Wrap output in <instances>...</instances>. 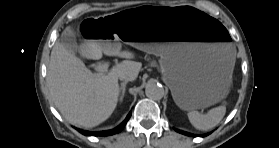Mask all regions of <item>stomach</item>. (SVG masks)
Masks as SVG:
<instances>
[{
	"label": "stomach",
	"instance_id": "0dacf381",
	"mask_svg": "<svg viewBox=\"0 0 279 148\" xmlns=\"http://www.w3.org/2000/svg\"><path fill=\"white\" fill-rule=\"evenodd\" d=\"M79 36L95 49L126 43L160 56L163 80L176 105L186 111L227 96L238 55L229 29L190 6L133 5L91 15L80 24Z\"/></svg>",
	"mask_w": 279,
	"mask_h": 148
}]
</instances>
